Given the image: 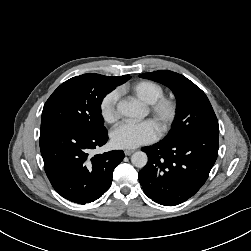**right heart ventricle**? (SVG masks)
Masks as SVG:
<instances>
[{
  "label": "right heart ventricle",
  "mask_w": 251,
  "mask_h": 251,
  "mask_svg": "<svg viewBox=\"0 0 251 251\" xmlns=\"http://www.w3.org/2000/svg\"><path fill=\"white\" fill-rule=\"evenodd\" d=\"M124 90L131 92L144 104H150L164 95L163 87L151 80H141L125 87Z\"/></svg>",
  "instance_id": "e07e8e85"
}]
</instances>
